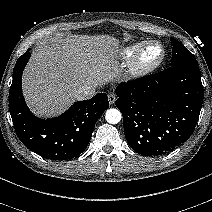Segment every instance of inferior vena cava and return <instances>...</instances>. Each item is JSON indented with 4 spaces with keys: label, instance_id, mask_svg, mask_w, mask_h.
I'll list each match as a JSON object with an SVG mask.
<instances>
[{
    "label": "inferior vena cava",
    "instance_id": "1",
    "mask_svg": "<svg viewBox=\"0 0 212 212\" xmlns=\"http://www.w3.org/2000/svg\"><path fill=\"white\" fill-rule=\"evenodd\" d=\"M95 90L96 86L94 85H84L75 91V97L78 100H87L94 96Z\"/></svg>",
    "mask_w": 212,
    "mask_h": 212
}]
</instances>
